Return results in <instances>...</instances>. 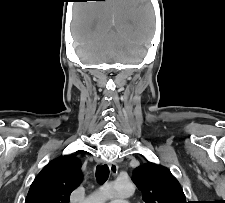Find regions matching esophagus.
<instances>
[{
	"label": "esophagus",
	"instance_id": "1",
	"mask_svg": "<svg viewBox=\"0 0 225 203\" xmlns=\"http://www.w3.org/2000/svg\"><path fill=\"white\" fill-rule=\"evenodd\" d=\"M109 168H110V171H111V173L113 175H116L117 174V172H118V166H117L116 163H114V162L109 163Z\"/></svg>",
	"mask_w": 225,
	"mask_h": 203
}]
</instances>
